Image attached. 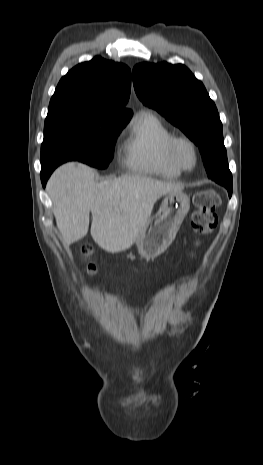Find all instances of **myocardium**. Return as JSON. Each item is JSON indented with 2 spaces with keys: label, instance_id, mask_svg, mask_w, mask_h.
<instances>
[{
  "label": "myocardium",
  "instance_id": "obj_1",
  "mask_svg": "<svg viewBox=\"0 0 263 465\" xmlns=\"http://www.w3.org/2000/svg\"><path fill=\"white\" fill-rule=\"evenodd\" d=\"M181 144L188 145L193 153V163L190 166L185 165L178 155V147ZM167 155L169 160L181 171H190L194 169L198 163V148L195 142L187 136L176 135L172 136L167 144Z\"/></svg>",
  "mask_w": 263,
  "mask_h": 465
}]
</instances>
